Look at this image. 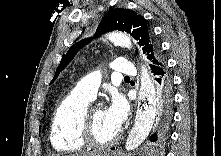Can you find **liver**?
<instances>
[{
  "instance_id": "liver-1",
  "label": "liver",
  "mask_w": 221,
  "mask_h": 156,
  "mask_svg": "<svg viewBox=\"0 0 221 156\" xmlns=\"http://www.w3.org/2000/svg\"><path fill=\"white\" fill-rule=\"evenodd\" d=\"M98 155H100L99 153H96V152H93V153H87V154H85V153H80V154H77V155H75V156H98Z\"/></svg>"
}]
</instances>
